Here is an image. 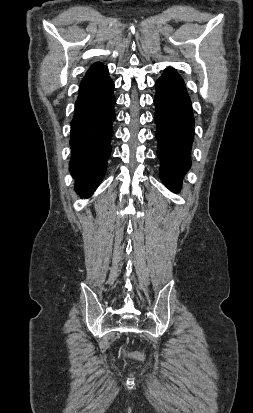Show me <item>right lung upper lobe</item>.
Segmentation results:
<instances>
[{
	"label": "right lung upper lobe",
	"instance_id": "right-lung-upper-lobe-1",
	"mask_svg": "<svg viewBox=\"0 0 253 413\" xmlns=\"http://www.w3.org/2000/svg\"><path fill=\"white\" fill-rule=\"evenodd\" d=\"M106 68V66H104L102 63L100 62H96L94 63L90 69L88 70V72L86 73L85 77L83 78V80L81 81L80 86H83L87 83H89L98 73H100L102 70H104Z\"/></svg>",
	"mask_w": 253,
	"mask_h": 413
}]
</instances>
